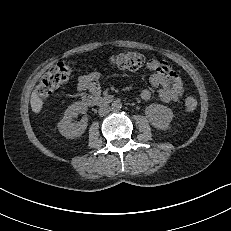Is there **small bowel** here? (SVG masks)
Segmentation results:
<instances>
[{
  "label": "small bowel",
  "mask_w": 231,
  "mask_h": 231,
  "mask_svg": "<svg viewBox=\"0 0 231 231\" xmlns=\"http://www.w3.org/2000/svg\"><path fill=\"white\" fill-rule=\"evenodd\" d=\"M146 68L152 72L149 81L151 86L157 90L160 99L165 103L178 100L183 94V85L179 75L172 69L166 61L149 59ZM100 72H91L83 75L78 80V89L98 96L101 92ZM140 96L143 100H149L152 93L149 89L141 91Z\"/></svg>",
  "instance_id": "1"
}]
</instances>
